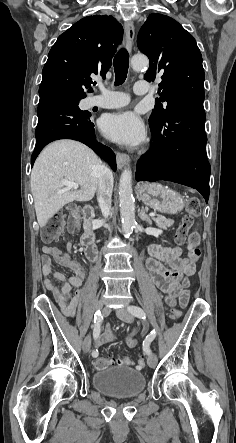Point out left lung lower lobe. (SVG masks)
Here are the masks:
<instances>
[{"label": "left lung lower lobe", "instance_id": "1", "mask_svg": "<svg viewBox=\"0 0 236 443\" xmlns=\"http://www.w3.org/2000/svg\"><path fill=\"white\" fill-rule=\"evenodd\" d=\"M205 111L201 103H185L167 112L159 125L150 124L151 150L137 163V181L166 180L197 189L209 199L211 167L206 156Z\"/></svg>", "mask_w": 236, "mask_h": 443}]
</instances>
